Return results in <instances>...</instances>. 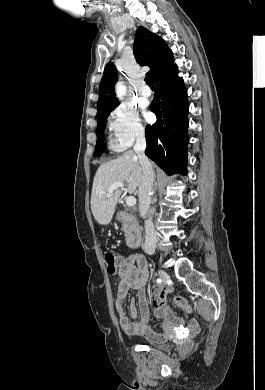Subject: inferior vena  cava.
<instances>
[{"mask_svg":"<svg viewBox=\"0 0 265 390\" xmlns=\"http://www.w3.org/2000/svg\"><path fill=\"white\" fill-rule=\"evenodd\" d=\"M145 149H146V139L143 134H140L137 137L136 144L134 146V151L139 157V161L143 170V177L138 190L139 211L141 217L143 218L149 212V208L151 204V192H152V186L154 182V171L151 162L145 155ZM156 243H157L156 231L152 222V218L150 217L145 221L144 251L147 254H153L155 252Z\"/></svg>","mask_w":265,"mask_h":390,"instance_id":"inferior-vena-cava-1","label":"inferior vena cava"}]
</instances>
